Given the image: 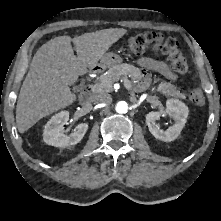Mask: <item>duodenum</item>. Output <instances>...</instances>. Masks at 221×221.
<instances>
[{
	"label": "duodenum",
	"mask_w": 221,
	"mask_h": 221,
	"mask_svg": "<svg viewBox=\"0 0 221 221\" xmlns=\"http://www.w3.org/2000/svg\"><path fill=\"white\" fill-rule=\"evenodd\" d=\"M94 70H96V68ZM91 97H92V89L89 85H86L81 93V101L83 103H87L90 101Z\"/></svg>",
	"instance_id": "obj_1"
}]
</instances>
